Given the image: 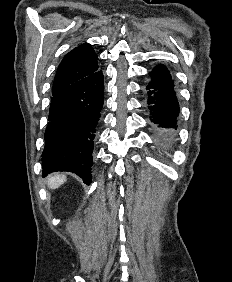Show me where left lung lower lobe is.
Segmentation results:
<instances>
[{
    "label": "left lung lower lobe",
    "instance_id": "1",
    "mask_svg": "<svg viewBox=\"0 0 232 282\" xmlns=\"http://www.w3.org/2000/svg\"><path fill=\"white\" fill-rule=\"evenodd\" d=\"M151 81L147 85L148 109L150 119L156 126V140L166 145L173 140V129H176V118L179 114L174 80L169 70L162 64L150 73Z\"/></svg>",
    "mask_w": 232,
    "mask_h": 282
}]
</instances>
